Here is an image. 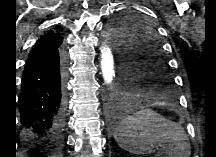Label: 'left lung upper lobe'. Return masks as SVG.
Masks as SVG:
<instances>
[{
    "instance_id": "left-lung-upper-lobe-1",
    "label": "left lung upper lobe",
    "mask_w": 216,
    "mask_h": 157,
    "mask_svg": "<svg viewBox=\"0 0 216 157\" xmlns=\"http://www.w3.org/2000/svg\"><path fill=\"white\" fill-rule=\"evenodd\" d=\"M154 26L141 15L127 11L109 22L105 35L131 93L172 98L174 78Z\"/></svg>"
}]
</instances>
